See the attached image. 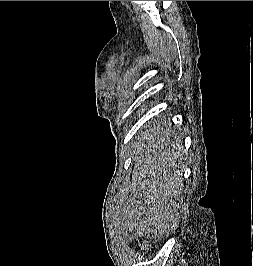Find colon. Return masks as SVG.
<instances>
[{"mask_svg":"<svg viewBox=\"0 0 253 266\" xmlns=\"http://www.w3.org/2000/svg\"><path fill=\"white\" fill-rule=\"evenodd\" d=\"M140 246L142 248H147L148 247V243L147 242H141Z\"/></svg>","mask_w":253,"mask_h":266,"instance_id":"colon-1","label":"colon"}]
</instances>
